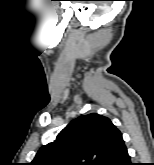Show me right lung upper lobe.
I'll list each match as a JSON object with an SVG mask.
<instances>
[{
    "label": "right lung upper lobe",
    "mask_w": 154,
    "mask_h": 165,
    "mask_svg": "<svg viewBox=\"0 0 154 165\" xmlns=\"http://www.w3.org/2000/svg\"><path fill=\"white\" fill-rule=\"evenodd\" d=\"M119 135L107 117L97 113L80 116L54 142L42 146L31 165H100Z\"/></svg>",
    "instance_id": "cb5924a9"
}]
</instances>
